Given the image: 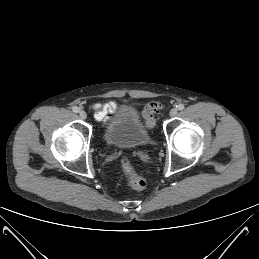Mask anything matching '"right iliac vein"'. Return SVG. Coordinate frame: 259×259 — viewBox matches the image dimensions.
Segmentation results:
<instances>
[{"label": "right iliac vein", "mask_w": 259, "mask_h": 259, "mask_svg": "<svg viewBox=\"0 0 259 259\" xmlns=\"http://www.w3.org/2000/svg\"><path fill=\"white\" fill-rule=\"evenodd\" d=\"M79 116L81 119L85 120L87 118V114L85 111L81 110L79 111Z\"/></svg>", "instance_id": "obj_1"}]
</instances>
